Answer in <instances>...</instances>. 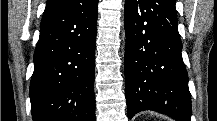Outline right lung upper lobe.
I'll return each instance as SVG.
<instances>
[{"label": "right lung upper lobe", "instance_id": "cb5924a9", "mask_svg": "<svg viewBox=\"0 0 217 121\" xmlns=\"http://www.w3.org/2000/svg\"><path fill=\"white\" fill-rule=\"evenodd\" d=\"M71 0H47V6H51V5H56V4H61V3H66L69 2Z\"/></svg>", "mask_w": 217, "mask_h": 121}]
</instances>
